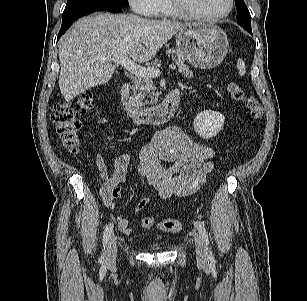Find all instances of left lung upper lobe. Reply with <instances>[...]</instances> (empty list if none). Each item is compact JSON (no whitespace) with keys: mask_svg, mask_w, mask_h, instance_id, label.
Wrapping results in <instances>:
<instances>
[{"mask_svg":"<svg viewBox=\"0 0 307 301\" xmlns=\"http://www.w3.org/2000/svg\"><path fill=\"white\" fill-rule=\"evenodd\" d=\"M237 8V21L245 29H251V15L244 0H235Z\"/></svg>","mask_w":307,"mask_h":301,"instance_id":"left-lung-upper-lobe-1","label":"left lung upper lobe"}]
</instances>
